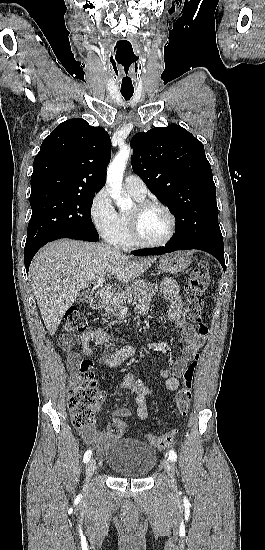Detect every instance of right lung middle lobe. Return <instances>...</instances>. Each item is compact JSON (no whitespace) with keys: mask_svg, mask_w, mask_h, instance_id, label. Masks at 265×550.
Segmentation results:
<instances>
[{"mask_svg":"<svg viewBox=\"0 0 265 550\" xmlns=\"http://www.w3.org/2000/svg\"><path fill=\"white\" fill-rule=\"evenodd\" d=\"M95 194L53 190L31 192L32 216L28 224L24 252L66 232L98 236L91 220Z\"/></svg>","mask_w":265,"mask_h":550,"instance_id":"dd1d6c3e","label":"right lung middle lobe"}]
</instances>
